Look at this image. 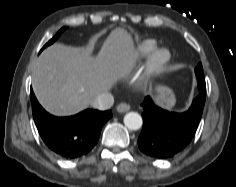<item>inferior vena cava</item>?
Returning a JSON list of instances; mask_svg holds the SVG:
<instances>
[{"mask_svg":"<svg viewBox=\"0 0 236 187\" xmlns=\"http://www.w3.org/2000/svg\"><path fill=\"white\" fill-rule=\"evenodd\" d=\"M114 104V97L112 94L105 92L99 94L91 103L92 107L99 110H108Z\"/></svg>","mask_w":236,"mask_h":187,"instance_id":"1","label":"inferior vena cava"}]
</instances>
